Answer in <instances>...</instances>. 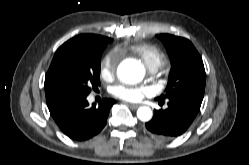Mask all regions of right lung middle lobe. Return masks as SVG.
Wrapping results in <instances>:
<instances>
[{"label": "right lung middle lobe", "mask_w": 249, "mask_h": 165, "mask_svg": "<svg viewBox=\"0 0 249 165\" xmlns=\"http://www.w3.org/2000/svg\"><path fill=\"white\" fill-rule=\"evenodd\" d=\"M106 45L72 38L60 46L45 77V91L88 95L100 85V61Z\"/></svg>", "instance_id": "right-lung-middle-lobe-1"}]
</instances>
